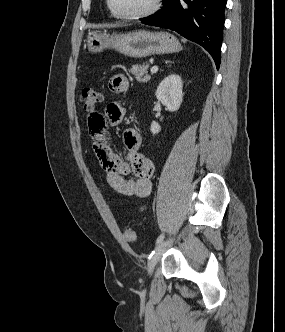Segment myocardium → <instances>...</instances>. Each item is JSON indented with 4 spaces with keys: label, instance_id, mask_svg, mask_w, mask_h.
Wrapping results in <instances>:
<instances>
[{
    "label": "myocardium",
    "instance_id": "1",
    "mask_svg": "<svg viewBox=\"0 0 285 332\" xmlns=\"http://www.w3.org/2000/svg\"><path fill=\"white\" fill-rule=\"evenodd\" d=\"M107 7L111 13V15L117 19L124 20V21H135L148 18L155 13H157L162 5V0H154L153 5L146 11L132 14V15H123L118 13L112 6L111 0H106Z\"/></svg>",
    "mask_w": 285,
    "mask_h": 332
}]
</instances>
